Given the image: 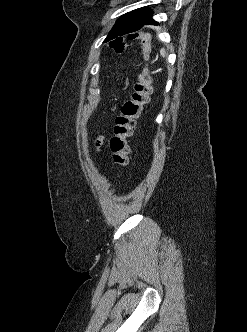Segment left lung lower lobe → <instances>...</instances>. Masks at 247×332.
Wrapping results in <instances>:
<instances>
[{
	"instance_id": "1",
	"label": "left lung lower lobe",
	"mask_w": 247,
	"mask_h": 332,
	"mask_svg": "<svg viewBox=\"0 0 247 332\" xmlns=\"http://www.w3.org/2000/svg\"><path fill=\"white\" fill-rule=\"evenodd\" d=\"M144 25H158L152 19V11L147 8H141L130 20L125 22L118 31V36L129 34L128 38L133 39L137 34L134 32L141 29Z\"/></svg>"
}]
</instances>
